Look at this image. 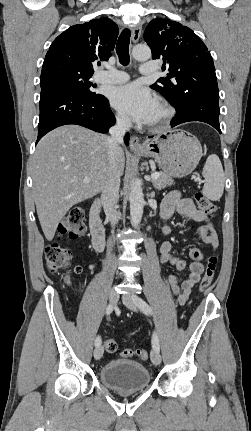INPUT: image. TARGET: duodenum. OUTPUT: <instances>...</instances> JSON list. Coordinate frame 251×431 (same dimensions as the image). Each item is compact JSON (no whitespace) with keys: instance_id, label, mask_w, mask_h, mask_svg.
Wrapping results in <instances>:
<instances>
[{"instance_id":"obj_1","label":"duodenum","mask_w":251,"mask_h":431,"mask_svg":"<svg viewBox=\"0 0 251 431\" xmlns=\"http://www.w3.org/2000/svg\"><path fill=\"white\" fill-rule=\"evenodd\" d=\"M102 203L99 199L95 200L91 206L89 214V227L92 236V244L98 251L105 246V229L101 219Z\"/></svg>"}]
</instances>
